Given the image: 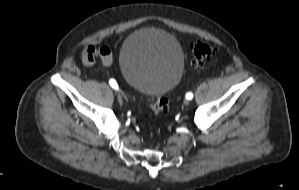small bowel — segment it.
Masks as SVG:
<instances>
[{
	"mask_svg": "<svg viewBox=\"0 0 299 190\" xmlns=\"http://www.w3.org/2000/svg\"><path fill=\"white\" fill-rule=\"evenodd\" d=\"M98 41H92L89 46L86 47L83 60H85L88 56L92 58V61L95 60L101 61L104 65H112L114 61L112 51L106 46H98ZM92 62V63H93Z\"/></svg>",
	"mask_w": 299,
	"mask_h": 190,
	"instance_id": "1",
	"label": "small bowel"
}]
</instances>
